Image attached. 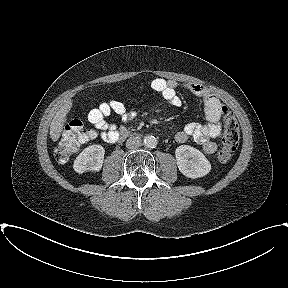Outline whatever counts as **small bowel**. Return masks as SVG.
<instances>
[{
	"mask_svg": "<svg viewBox=\"0 0 288 288\" xmlns=\"http://www.w3.org/2000/svg\"><path fill=\"white\" fill-rule=\"evenodd\" d=\"M182 86L202 100L207 123H188L176 134L175 139L178 143H185L189 138H192L203 148L205 153L212 154L217 149L213 139L220 135L221 120L228 110L220 99L206 87L196 83H183ZM151 88L170 105L174 107L182 105V98L178 95V83L176 81L155 78L151 82ZM112 114L119 115L124 122L131 121L137 115L135 111H128L121 101L115 99L102 103L99 107L91 110L88 114L89 122L100 131V137L109 143L119 141L127 133L126 129L108 123L107 118Z\"/></svg>",
	"mask_w": 288,
	"mask_h": 288,
	"instance_id": "small-bowel-1",
	"label": "small bowel"
}]
</instances>
